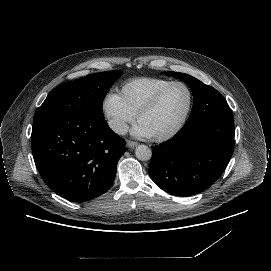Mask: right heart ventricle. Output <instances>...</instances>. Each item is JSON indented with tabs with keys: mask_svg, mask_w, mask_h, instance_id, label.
Here are the masks:
<instances>
[{
	"mask_svg": "<svg viewBox=\"0 0 271 271\" xmlns=\"http://www.w3.org/2000/svg\"><path fill=\"white\" fill-rule=\"evenodd\" d=\"M165 77H140L124 82L120 87V97L126 108L137 116L158 91L172 82Z\"/></svg>",
	"mask_w": 271,
	"mask_h": 271,
	"instance_id": "right-heart-ventricle-1",
	"label": "right heart ventricle"
}]
</instances>
